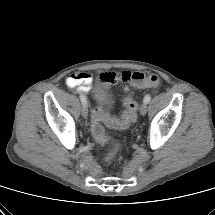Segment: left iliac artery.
<instances>
[{
    "label": "left iliac artery",
    "instance_id": "obj_1",
    "mask_svg": "<svg viewBox=\"0 0 215 215\" xmlns=\"http://www.w3.org/2000/svg\"><path fill=\"white\" fill-rule=\"evenodd\" d=\"M150 100H151V96H150L149 94H147V95L144 97L143 102L146 103V104H148V103L150 102Z\"/></svg>",
    "mask_w": 215,
    "mask_h": 215
}]
</instances>
